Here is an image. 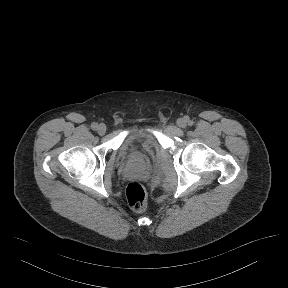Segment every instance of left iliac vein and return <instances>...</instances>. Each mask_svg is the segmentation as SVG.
I'll use <instances>...</instances> for the list:
<instances>
[{
	"instance_id": "4c4485c4",
	"label": "left iliac vein",
	"mask_w": 288,
	"mask_h": 288,
	"mask_svg": "<svg viewBox=\"0 0 288 288\" xmlns=\"http://www.w3.org/2000/svg\"><path fill=\"white\" fill-rule=\"evenodd\" d=\"M177 125L181 128H185L187 126V120L185 118L177 119Z\"/></svg>"
}]
</instances>
